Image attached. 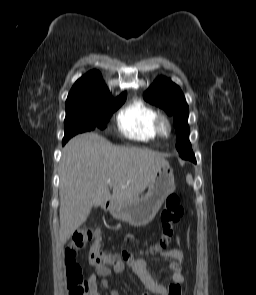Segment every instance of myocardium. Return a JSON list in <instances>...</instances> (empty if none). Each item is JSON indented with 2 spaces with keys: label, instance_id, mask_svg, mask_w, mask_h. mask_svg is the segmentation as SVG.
<instances>
[{
  "label": "myocardium",
  "instance_id": "myocardium-1",
  "mask_svg": "<svg viewBox=\"0 0 256 295\" xmlns=\"http://www.w3.org/2000/svg\"><path fill=\"white\" fill-rule=\"evenodd\" d=\"M155 127L157 133L163 137L169 136L172 132V124L166 116H158Z\"/></svg>",
  "mask_w": 256,
  "mask_h": 295
}]
</instances>
